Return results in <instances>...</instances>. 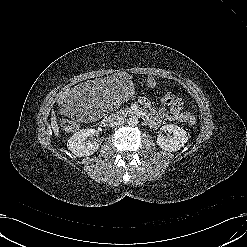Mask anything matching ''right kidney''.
Returning a JSON list of instances; mask_svg holds the SVG:
<instances>
[{"mask_svg":"<svg viewBox=\"0 0 247 247\" xmlns=\"http://www.w3.org/2000/svg\"><path fill=\"white\" fill-rule=\"evenodd\" d=\"M96 134L97 132L93 128L82 129L70 137L67 147L78 157L90 156L98 150L99 144L95 141H87V138L95 136Z\"/></svg>","mask_w":247,"mask_h":247,"instance_id":"ca27d5eb","label":"right kidney"}]
</instances>
